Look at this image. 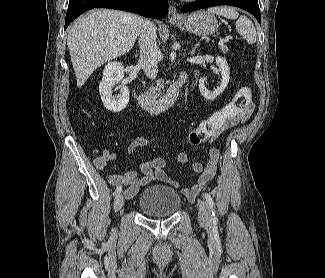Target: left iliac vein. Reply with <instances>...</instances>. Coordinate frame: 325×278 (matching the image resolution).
Instances as JSON below:
<instances>
[{"label":"left iliac vein","mask_w":325,"mask_h":278,"mask_svg":"<svg viewBox=\"0 0 325 278\" xmlns=\"http://www.w3.org/2000/svg\"><path fill=\"white\" fill-rule=\"evenodd\" d=\"M198 218L202 225H208L211 221L210 209L205 200H199Z\"/></svg>","instance_id":"1"}]
</instances>
